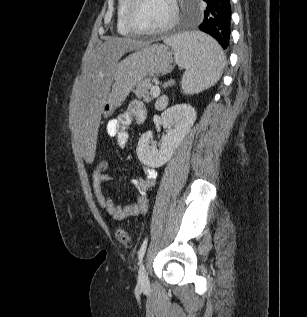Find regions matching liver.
<instances>
[{
  "mask_svg": "<svg viewBox=\"0 0 307 317\" xmlns=\"http://www.w3.org/2000/svg\"><path fill=\"white\" fill-rule=\"evenodd\" d=\"M144 45L130 38L109 37L84 67L81 81L74 89L69 117L75 149H82L80 159L84 163H91L95 158L102 103L118 60L124 53Z\"/></svg>",
  "mask_w": 307,
  "mask_h": 317,
  "instance_id": "1",
  "label": "liver"
}]
</instances>
